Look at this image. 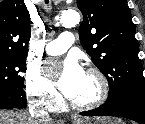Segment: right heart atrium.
<instances>
[{"label": "right heart atrium", "mask_w": 145, "mask_h": 124, "mask_svg": "<svg viewBox=\"0 0 145 124\" xmlns=\"http://www.w3.org/2000/svg\"><path fill=\"white\" fill-rule=\"evenodd\" d=\"M26 95L34 106L46 111H54L60 104V97L38 69L29 68L25 74Z\"/></svg>", "instance_id": "1"}]
</instances>
